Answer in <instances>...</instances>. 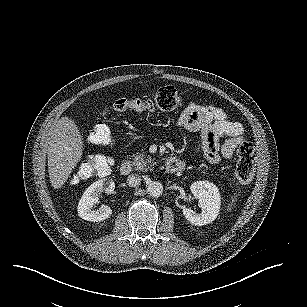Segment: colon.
Returning <instances> with one entry per match:
<instances>
[{
    "mask_svg": "<svg viewBox=\"0 0 307 307\" xmlns=\"http://www.w3.org/2000/svg\"><path fill=\"white\" fill-rule=\"evenodd\" d=\"M182 104V97L173 86L160 88L154 95L145 98H119L113 104L116 111L128 109L137 111L162 110L170 111ZM89 141L95 145L111 146L114 137L109 127L100 123L89 135ZM236 177L243 186H248L254 179L255 161L254 147L250 142L242 141L236 150ZM112 159L103 155H89L84 158L73 173L72 181L87 179L96 175L107 174L112 166Z\"/></svg>",
    "mask_w": 307,
    "mask_h": 307,
    "instance_id": "obj_1",
    "label": "colon"
}]
</instances>
